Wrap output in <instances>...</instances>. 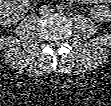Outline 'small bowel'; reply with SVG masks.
<instances>
[{"instance_id":"c3829d8e","label":"small bowel","mask_w":111,"mask_h":106,"mask_svg":"<svg viewBox=\"0 0 111 106\" xmlns=\"http://www.w3.org/2000/svg\"><path fill=\"white\" fill-rule=\"evenodd\" d=\"M83 2H92V1H83ZM93 2H96V1H93Z\"/></svg>"}]
</instances>
